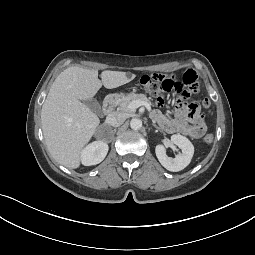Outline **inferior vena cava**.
<instances>
[{
  "mask_svg": "<svg viewBox=\"0 0 255 255\" xmlns=\"http://www.w3.org/2000/svg\"><path fill=\"white\" fill-rule=\"evenodd\" d=\"M125 119L126 117L124 114L113 112L106 117V123L113 127H118L124 123Z\"/></svg>",
  "mask_w": 255,
  "mask_h": 255,
  "instance_id": "602c4592",
  "label": "inferior vena cava"
}]
</instances>
